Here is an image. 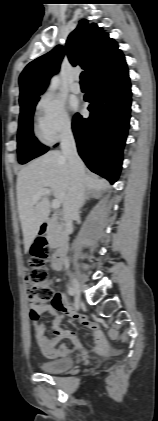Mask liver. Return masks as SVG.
Masks as SVG:
<instances>
[{"instance_id": "obj_1", "label": "liver", "mask_w": 158, "mask_h": 421, "mask_svg": "<svg viewBox=\"0 0 158 421\" xmlns=\"http://www.w3.org/2000/svg\"><path fill=\"white\" fill-rule=\"evenodd\" d=\"M85 170V189L101 190L108 183ZM71 184V175L67 159L61 151L52 150L36 158L25 166L17 176V203L19 218L27 251L37 236L40 226L50 214L47 195L41 196L37 203L33 198L42 189H49L55 198L63 203Z\"/></svg>"}]
</instances>
